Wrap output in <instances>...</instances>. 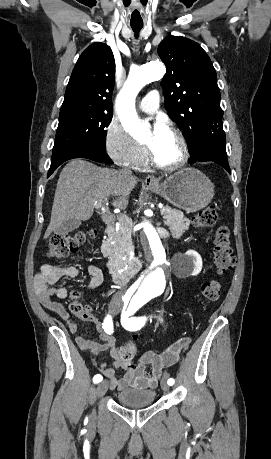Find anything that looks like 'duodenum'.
Wrapping results in <instances>:
<instances>
[{
  "instance_id": "410a0bca",
  "label": "duodenum",
  "mask_w": 271,
  "mask_h": 459,
  "mask_svg": "<svg viewBox=\"0 0 271 459\" xmlns=\"http://www.w3.org/2000/svg\"><path fill=\"white\" fill-rule=\"evenodd\" d=\"M115 223L112 219H108L105 222V232L111 233L114 230ZM141 268V262L138 259H134L126 270L116 271L112 274V281L118 286L126 285L139 271Z\"/></svg>"
}]
</instances>
